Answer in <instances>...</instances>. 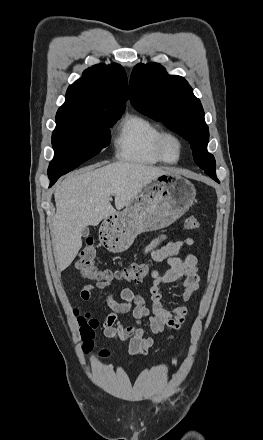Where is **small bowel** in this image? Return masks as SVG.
Listing matches in <instances>:
<instances>
[{
	"instance_id": "c3829d8e",
	"label": "small bowel",
	"mask_w": 263,
	"mask_h": 440,
	"mask_svg": "<svg viewBox=\"0 0 263 440\" xmlns=\"http://www.w3.org/2000/svg\"><path fill=\"white\" fill-rule=\"evenodd\" d=\"M160 241L161 239H155L144 249V254L149 255L154 262L165 261L169 266L164 273L157 269L151 271L150 304L129 287H125L120 291L121 301H119L113 293L115 287L104 281L86 284L80 291V298L83 301L92 302L95 291L111 288L112 292L105 298L109 313L103 321L102 331L106 338L128 341V353L132 356L148 354L152 349L156 336L165 330H179L186 320L189 312L188 308L186 306L166 307L160 287L167 283H177L180 287V299L188 301L194 296L201 282V269L198 266V258L192 254L184 258L178 257L181 248L193 246L195 244L194 240L185 238L169 241L159 247ZM129 312H132L135 324L124 326L118 316ZM144 320L149 324L151 336H146L144 330L140 327Z\"/></svg>"
}]
</instances>
